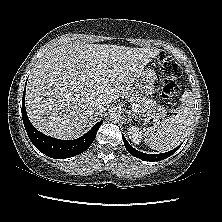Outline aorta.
I'll return each mask as SVG.
<instances>
[{"label":"aorta","instance_id":"762f6f07","mask_svg":"<svg viewBox=\"0 0 222 222\" xmlns=\"http://www.w3.org/2000/svg\"><path fill=\"white\" fill-rule=\"evenodd\" d=\"M110 119L113 122H120L123 119L122 112L118 110H114L110 113Z\"/></svg>","mask_w":222,"mask_h":222}]
</instances>
